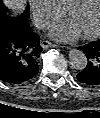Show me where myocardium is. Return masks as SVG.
I'll use <instances>...</instances> for the list:
<instances>
[{
    "label": "myocardium",
    "mask_w": 100,
    "mask_h": 118,
    "mask_svg": "<svg viewBox=\"0 0 100 118\" xmlns=\"http://www.w3.org/2000/svg\"><path fill=\"white\" fill-rule=\"evenodd\" d=\"M83 1H84V0H72V1L66 6V8H65V14H66L68 11H70V10H72V9H74V8H76V7H78V6H80ZM99 33H100V9H99V16H98V20H97V23H96L95 28L92 29V30L89 31V32L83 33V36L86 37V38H91V37L97 36Z\"/></svg>",
    "instance_id": "1"
}]
</instances>
